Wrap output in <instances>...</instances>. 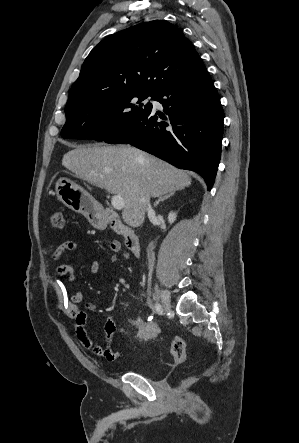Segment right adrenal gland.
Returning a JSON list of instances; mask_svg holds the SVG:
<instances>
[{
	"mask_svg": "<svg viewBox=\"0 0 299 443\" xmlns=\"http://www.w3.org/2000/svg\"><path fill=\"white\" fill-rule=\"evenodd\" d=\"M174 194H175V191L174 192H170V193L166 194L165 196L159 197V199L156 200V202L154 203V207L157 208V206L159 205L160 202H163L164 200L169 199Z\"/></svg>",
	"mask_w": 299,
	"mask_h": 443,
	"instance_id": "1",
	"label": "right adrenal gland"
}]
</instances>
